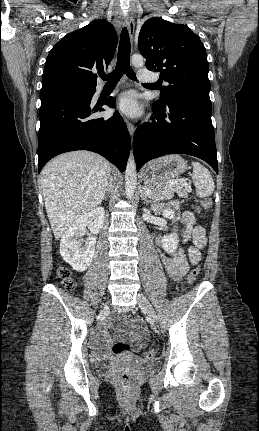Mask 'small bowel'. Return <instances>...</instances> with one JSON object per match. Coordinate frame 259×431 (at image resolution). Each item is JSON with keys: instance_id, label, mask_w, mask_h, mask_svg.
Returning <instances> with one entry per match:
<instances>
[{"instance_id": "1", "label": "small bowel", "mask_w": 259, "mask_h": 431, "mask_svg": "<svg viewBox=\"0 0 259 431\" xmlns=\"http://www.w3.org/2000/svg\"><path fill=\"white\" fill-rule=\"evenodd\" d=\"M173 205L177 206V203L174 202ZM194 222L193 213L185 212L183 214L182 240H192V245L189 247L187 255L181 249L172 256L161 254L168 274L175 280L187 273L189 264L196 265L199 263L201 258L200 250L206 245L205 230L201 226L195 225ZM159 244H162L161 237ZM109 328H113L117 332V338L127 342L134 352H139L147 343V330L141 319H131L126 322L121 319H113L111 322L104 323L94 335V344L98 356L106 357L108 355L107 350L112 342L110 335L107 333Z\"/></svg>"}]
</instances>
